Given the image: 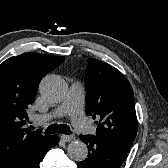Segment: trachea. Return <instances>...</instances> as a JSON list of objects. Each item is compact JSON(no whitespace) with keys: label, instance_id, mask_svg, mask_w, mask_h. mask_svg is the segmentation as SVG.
<instances>
[{"label":"trachea","instance_id":"3493384b","mask_svg":"<svg viewBox=\"0 0 168 168\" xmlns=\"http://www.w3.org/2000/svg\"><path fill=\"white\" fill-rule=\"evenodd\" d=\"M58 131L66 135L72 134L69 126L66 124H52L45 130V134H54Z\"/></svg>","mask_w":168,"mask_h":168}]
</instances>
